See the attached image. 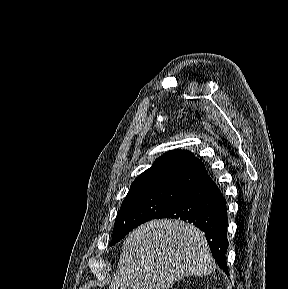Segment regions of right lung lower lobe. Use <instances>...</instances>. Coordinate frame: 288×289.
<instances>
[{
	"label": "right lung lower lobe",
	"instance_id": "1",
	"mask_svg": "<svg viewBox=\"0 0 288 289\" xmlns=\"http://www.w3.org/2000/svg\"><path fill=\"white\" fill-rule=\"evenodd\" d=\"M157 218L181 219L204 231L213 257L228 275L225 256L228 248L226 201L208 174Z\"/></svg>",
	"mask_w": 288,
	"mask_h": 289
}]
</instances>
